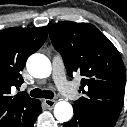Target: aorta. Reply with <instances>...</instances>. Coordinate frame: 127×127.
Segmentation results:
<instances>
[{
	"mask_svg": "<svg viewBox=\"0 0 127 127\" xmlns=\"http://www.w3.org/2000/svg\"><path fill=\"white\" fill-rule=\"evenodd\" d=\"M27 71L35 78H46L51 74V62L43 54H32L26 63ZM54 116L59 122H67L73 116V108L69 102L59 101L54 107Z\"/></svg>",
	"mask_w": 127,
	"mask_h": 127,
	"instance_id": "aorta-1",
	"label": "aorta"
}]
</instances>
